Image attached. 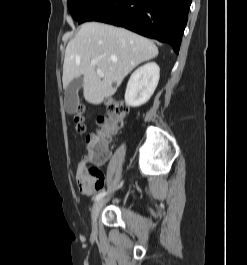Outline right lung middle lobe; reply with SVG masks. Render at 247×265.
<instances>
[{"label": "right lung middle lobe", "instance_id": "obj_1", "mask_svg": "<svg viewBox=\"0 0 247 265\" xmlns=\"http://www.w3.org/2000/svg\"><path fill=\"white\" fill-rule=\"evenodd\" d=\"M97 1L98 0H68V8L73 18L79 21Z\"/></svg>", "mask_w": 247, "mask_h": 265}]
</instances>
